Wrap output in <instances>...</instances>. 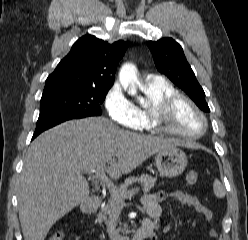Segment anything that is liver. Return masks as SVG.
<instances>
[{
	"label": "liver",
	"mask_w": 248,
	"mask_h": 240,
	"mask_svg": "<svg viewBox=\"0 0 248 240\" xmlns=\"http://www.w3.org/2000/svg\"><path fill=\"white\" fill-rule=\"evenodd\" d=\"M181 141L123 130L102 117L62 123L30 145L19 181V219L25 240H44L53 224L86 202L85 171L110 163L112 179Z\"/></svg>",
	"instance_id": "obj_1"
}]
</instances>
